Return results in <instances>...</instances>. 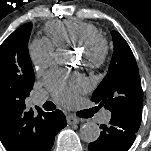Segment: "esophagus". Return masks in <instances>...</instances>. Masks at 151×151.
<instances>
[{"label": "esophagus", "mask_w": 151, "mask_h": 151, "mask_svg": "<svg viewBox=\"0 0 151 151\" xmlns=\"http://www.w3.org/2000/svg\"><path fill=\"white\" fill-rule=\"evenodd\" d=\"M79 122H80V119H79V118H77V117H75V116H73V115L67 116V123H68V124L72 125V124H77V123H79Z\"/></svg>", "instance_id": "obj_1"}]
</instances>
